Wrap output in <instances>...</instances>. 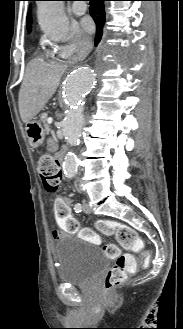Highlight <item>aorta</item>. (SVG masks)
Returning a JSON list of instances; mask_svg holds the SVG:
<instances>
[{
    "mask_svg": "<svg viewBox=\"0 0 183 329\" xmlns=\"http://www.w3.org/2000/svg\"><path fill=\"white\" fill-rule=\"evenodd\" d=\"M38 20L41 29L54 40H64L69 31V21L63 10L62 1H39ZM97 70L90 65L75 68L67 76L63 100L67 106V113L62 122V133L66 142L77 145L84 125L83 103L85 97L91 93L96 85ZM76 155L69 151L63 162L66 177L73 178L77 172Z\"/></svg>",
    "mask_w": 183,
    "mask_h": 329,
    "instance_id": "1",
    "label": "aorta"
}]
</instances>
